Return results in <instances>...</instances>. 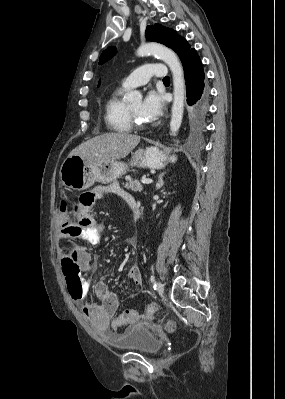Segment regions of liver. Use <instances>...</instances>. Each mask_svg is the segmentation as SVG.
<instances>
[{
  "label": "liver",
  "mask_w": 285,
  "mask_h": 399,
  "mask_svg": "<svg viewBox=\"0 0 285 399\" xmlns=\"http://www.w3.org/2000/svg\"><path fill=\"white\" fill-rule=\"evenodd\" d=\"M140 142V137L125 132L98 135L73 149L69 156H80L91 162L125 158Z\"/></svg>",
  "instance_id": "6515ba94"
}]
</instances>
